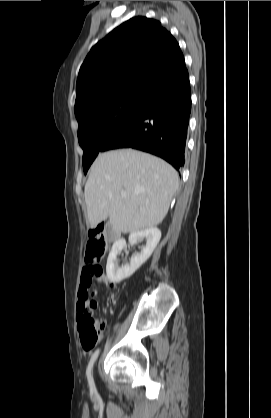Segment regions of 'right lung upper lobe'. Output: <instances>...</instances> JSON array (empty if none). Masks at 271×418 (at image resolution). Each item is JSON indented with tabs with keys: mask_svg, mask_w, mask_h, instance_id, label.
<instances>
[{
	"mask_svg": "<svg viewBox=\"0 0 271 418\" xmlns=\"http://www.w3.org/2000/svg\"><path fill=\"white\" fill-rule=\"evenodd\" d=\"M184 69L178 42L159 21L132 18L99 41L84 60L75 114L121 94L151 99Z\"/></svg>",
	"mask_w": 271,
	"mask_h": 418,
	"instance_id": "right-lung-upper-lobe-1",
	"label": "right lung upper lobe"
}]
</instances>
